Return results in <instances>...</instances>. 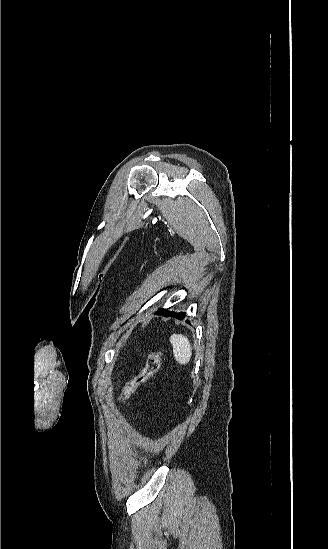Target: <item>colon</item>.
<instances>
[{
    "instance_id": "5ec220e1",
    "label": "colon",
    "mask_w": 328,
    "mask_h": 549,
    "mask_svg": "<svg viewBox=\"0 0 328 549\" xmlns=\"http://www.w3.org/2000/svg\"><path fill=\"white\" fill-rule=\"evenodd\" d=\"M161 356L162 354L158 350L149 352L146 363L141 371L124 386L119 398L120 403L126 402L140 385L147 382L159 370Z\"/></svg>"
}]
</instances>
